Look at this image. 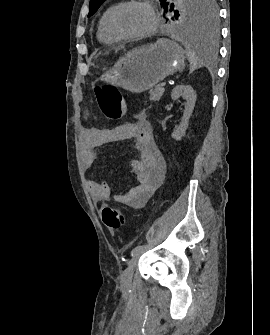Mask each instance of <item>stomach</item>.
Here are the masks:
<instances>
[{
  "mask_svg": "<svg viewBox=\"0 0 270 335\" xmlns=\"http://www.w3.org/2000/svg\"><path fill=\"white\" fill-rule=\"evenodd\" d=\"M185 52L168 38H158L155 44L133 48L123 54L111 70L102 74L101 82L124 88L133 94L150 90L166 76L184 70Z\"/></svg>",
  "mask_w": 270,
  "mask_h": 335,
  "instance_id": "stomach-1",
  "label": "stomach"
}]
</instances>
